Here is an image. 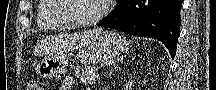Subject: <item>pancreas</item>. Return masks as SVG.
<instances>
[{"mask_svg":"<svg viewBox=\"0 0 216 90\" xmlns=\"http://www.w3.org/2000/svg\"><path fill=\"white\" fill-rule=\"evenodd\" d=\"M96 72L97 70H95V68L88 66V68H84V70H76L75 74L83 84H85V82L93 84L94 78H97V76H95Z\"/></svg>","mask_w":216,"mask_h":90,"instance_id":"1","label":"pancreas"}]
</instances>
